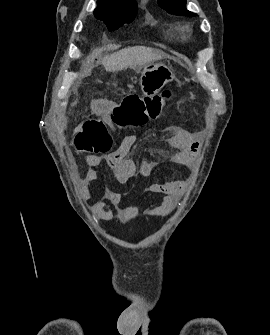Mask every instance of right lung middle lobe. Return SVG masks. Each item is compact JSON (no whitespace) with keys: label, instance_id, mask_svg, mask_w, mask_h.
<instances>
[{"label":"right lung middle lobe","instance_id":"right-lung-middle-lobe-1","mask_svg":"<svg viewBox=\"0 0 270 335\" xmlns=\"http://www.w3.org/2000/svg\"><path fill=\"white\" fill-rule=\"evenodd\" d=\"M137 5H126L117 7H98L94 11L97 19L103 20L109 31L118 29L125 23H130L137 14Z\"/></svg>","mask_w":270,"mask_h":335}]
</instances>
